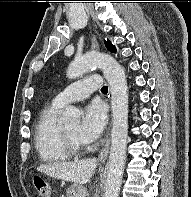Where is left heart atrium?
<instances>
[{
  "label": "left heart atrium",
  "mask_w": 191,
  "mask_h": 197,
  "mask_svg": "<svg viewBox=\"0 0 191 197\" xmlns=\"http://www.w3.org/2000/svg\"><path fill=\"white\" fill-rule=\"evenodd\" d=\"M106 109L101 102L93 101L88 104L83 112L82 122L77 133L81 143L95 141L106 125Z\"/></svg>",
  "instance_id": "39dd6f15"
}]
</instances>
